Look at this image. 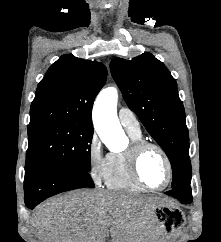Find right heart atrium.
Segmentation results:
<instances>
[{"label": "right heart atrium", "mask_w": 221, "mask_h": 242, "mask_svg": "<svg viewBox=\"0 0 221 242\" xmlns=\"http://www.w3.org/2000/svg\"><path fill=\"white\" fill-rule=\"evenodd\" d=\"M107 156L103 152L102 144L96 133H93L87 143V160L89 173L95 184L104 179Z\"/></svg>", "instance_id": "right-heart-atrium-1"}]
</instances>
